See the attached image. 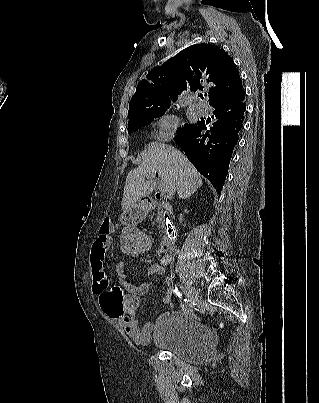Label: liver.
Segmentation results:
<instances>
[{"label": "liver", "mask_w": 319, "mask_h": 403, "mask_svg": "<svg viewBox=\"0 0 319 403\" xmlns=\"http://www.w3.org/2000/svg\"><path fill=\"white\" fill-rule=\"evenodd\" d=\"M157 172L171 196L176 191L179 198L191 196L202 185V178L184 154L176 148L157 142L148 144L142 152L141 164L126 177L122 208L128 209L155 189L153 180H145Z\"/></svg>", "instance_id": "1"}]
</instances>
